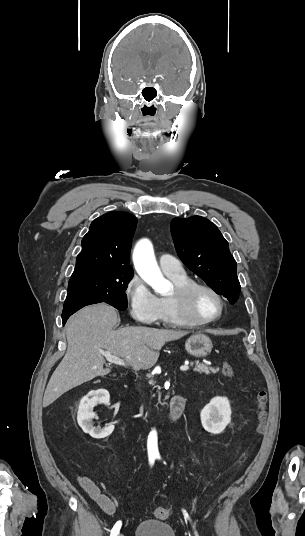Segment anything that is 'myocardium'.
Instances as JSON below:
<instances>
[{
	"mask_svg": "<svg viewBox=\"0 0 305 536\" xmlns=\"http://www.w3.org/2000/svg\"><path fill=\"white\" fill-rule=\"evenodd\" d=\"M199 290H207L214 294L221 301V311L216 317L202 321L194 320L192 318L190 313V302L192 297ZM168 298L182 323L191 328L213 325L219 321L227 311L226 297L213 286L202 282L193 281L187 284L177 285Z\"/></svg>",
	"mask_w": 305,
	"mask_h": 536,
	"instance_id": "f54148a6",
	"label": "myocardium"
}]
</instances>
